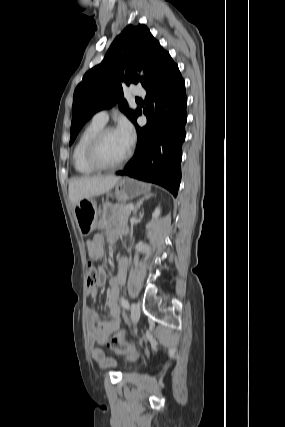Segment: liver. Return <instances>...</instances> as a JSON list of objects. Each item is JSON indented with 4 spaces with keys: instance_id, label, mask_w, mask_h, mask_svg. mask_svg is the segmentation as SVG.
Wrapping results in <instances>:
<instances>
[{
    "instance_id": "6515ba94",
    "label": "liver",
    "mask_w": 285,
    "mask_h": 427,
    "mask_svg": "<svg viewBox=\"0 0 285 427\" xmlns=\"http://www.w3.org/2000/svg\"><path fill=\"white\" fill-rule=\"evenodd\" d=\"M121 178L118 176H93L72 179L69 183V199L75 206L83 199H91L109 192Z\"/></svg>"
}]
</instances>
